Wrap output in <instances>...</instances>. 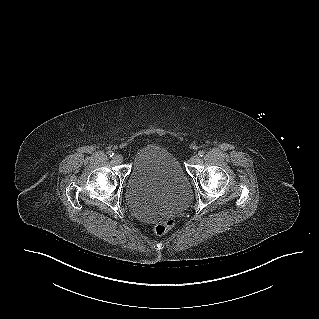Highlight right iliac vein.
Returning <instances> with one entry per match:
<instances>
[{"instance_id": "1", "label": "right iliac vein", "mask_w": 319, "mask_h": 319, "mask_svg": "<svg viewBox=\"0 0 319 319\" xmlns=\"http://www.w3.org/2000/svg\"><path fill=\"white\" fill-rule=\"evenodd\" d=\"M113 161L116 162V163H122V162H123V158H122L121 155L115 154V155L113 156Z\"/></svg>"}]
</instances>
